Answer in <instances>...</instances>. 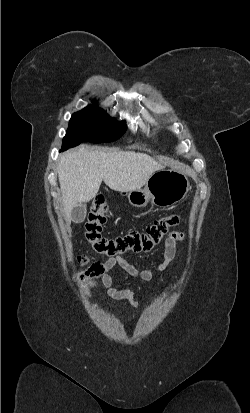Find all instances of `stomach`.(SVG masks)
<instances>
[{
  "mask_svg": "<svg viewBox=\"0 0 250 413\" xmlns=\"http://www.w3.org/2000/svg\"><path fill=\"white\" fill-rule=\"evenodd\" d=\"M189 189V179L185 172L177 169H162L153 173L143 189L138 188L127 194L129 203L134 207H144L149 201L161 208H169L180 202Z\"/></svg>",
  "mask_w": 250,
  "mask_h": 413,
  "instance_id": "1",
  "label": "stomach"
}]
</instances>
